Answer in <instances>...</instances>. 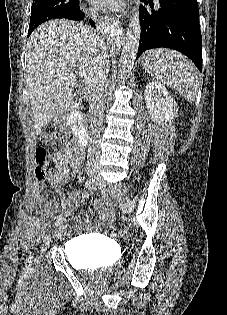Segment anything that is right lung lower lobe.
Returning <instances> with one entry per match:
<instances>
[{"instance_id":"obj_1","label":"right lung lower lobe","mask_w":227,"mask_h":315,"mask_svg":"<svg viewBox=\"0 0 227 315\" xmlns=\"http://www.w3.org/2000/svg\"><path fill=\"white\" fill-rule=\"evenodd\" d=\"M85 14L82 13L79 9V4H77L69 13V16L66 19H72L80 21L84 18ZM90 24L95 27L94 22L92 19L89 20ZM32 32V31H31Z\"/></svg>"}]
</instances>
